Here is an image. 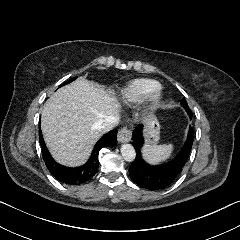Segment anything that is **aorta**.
Here are the masks:
<instances>
[{
  "instance_id": "1",
  "label": "aorta",
  "mask_w": 240,
  "mask_h": 240,
  "mask_svg": "<svg viewBox=\"0 0 240 240\" xmlns=\"http://www.w3.org/2000/svg\"><path fill=\"white\" fill-rule=\"evenodd\" d=\"M120 151L125 161L132 162L135 159L136 152L131 144H123Z\"/></svg>"
}]
</instances>
